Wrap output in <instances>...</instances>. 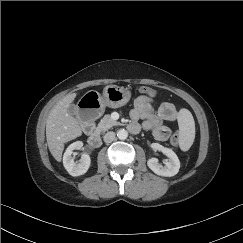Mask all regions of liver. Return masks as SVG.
<instances>
[{"instance_id":"6515ba94","label":"liver","mask_w":243,"mask_h":243,"mask_svg":"<svg viewBox=\"0 0 243 243\" xmlns=\"http://www.w3.org/2000/svg\"><path fill=\"white\" fill-rule=\"evenodd\" d=\"M76 93L63 97L51 109L46 121V139L49 151L56 161L60 162L64 143L82 134V128L72 115L67 112L69 105L76 98Z\"/></svg>"}]
</instances>
